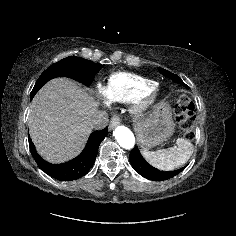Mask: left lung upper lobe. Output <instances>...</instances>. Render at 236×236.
Instances as JSON below:
<instances>
[{
  "label": "left lung upper lobe",
  "instance_id": "left-lung-upper-lobe-1",
  "mask_svg": "<svg viewBox=\"0 0 236 236\" xmlns=\"http://www.w3.org/2000/svg\"><path fill=\"white\" fill-rule=\"evenodd\" d=\"M158 70L160 71V73H162L164 76L170 78L171 80H173L176 83L181 84L182 86L188 87L177 75L163 69V68H158Z\"/></svg>",
  "mask_w": 236,
  "mask_h": 236
}]
</instances>
